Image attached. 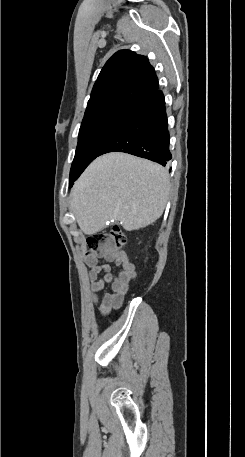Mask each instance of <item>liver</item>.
<instances>
[{
	"mask_svg": "<svg viewBox=\"0 0 245 457\" xmlns=\"http://www.w3.org/2000/svg\"><path fill=\"white\" fill-rule=\"evenodd\" d=\"M168 170L147 158L108 152L95 158L71 190V210L84 235L121 220L125 231L155 222L169 198Z\"/></svg>",
	"mask_w": 245,
	"mask_h": 457,
	"instance_id": "6515ba94",
	"label": "liver"
}]
</instances>
